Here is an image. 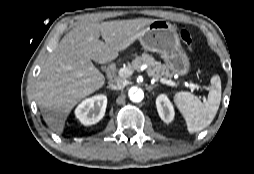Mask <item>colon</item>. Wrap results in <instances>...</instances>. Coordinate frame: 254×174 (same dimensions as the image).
Segmentation results:
<instances>
[{"label": "colon", "instance_id": "colon-1", "mask_svg": "<svg viewBox=\"0 0 254 174\" xmlns=\"http://www.w3.org/2000/svg\"><path fill=\"white\" fill-rule=\"evenodd\" d=\"M180 38H181V41L184 43V45L187 46L189 52L191 54H194V49L192 46L193 41H192L191 34L187 30H181Z\"/></svg>", "mask_w": 254, "mask_h": 174}]
</instances>
